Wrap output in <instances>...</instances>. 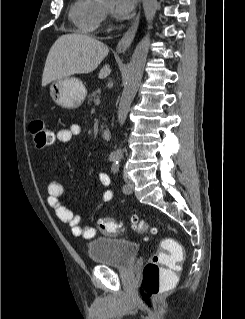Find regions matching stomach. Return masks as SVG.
<instances>
[{
	"mask_svg": "<svg viewBox=\"0 0 245 319\" xmlns=\"http://www.w3.org/2000/svg\"><path fill=\"white\" fill-rule=\"evenodd\" d=\"M87 94L84 83L75 77L58 79L50 86V96L59 106L75 109L81 106Z\"/></svg>",
	"mask_w": 245,
	"mask_h": 319,
	"instance_id": "1",
	"label": "stomach"
}]
</instances>
